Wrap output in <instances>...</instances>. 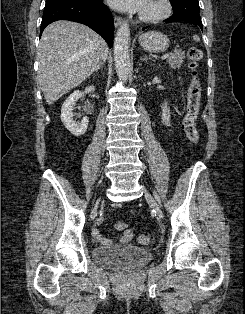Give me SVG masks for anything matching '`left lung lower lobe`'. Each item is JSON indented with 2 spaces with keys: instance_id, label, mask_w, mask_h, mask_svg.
<instances>
[{
  "instance_id": "obj_1",
  "label": "left lung lower lobe",
  "mask_w": 245,
  "mask_h": 314,
  "mask_svg": "<svg viewBox=\"0 0 245 314\" xmlns=\"http://www.w3.org/2000/svg\"><path fill=\"white\" fill-rule=\"evenodd\" d=\"M184 20H190L194 23H196L201 29H202V22L201 21H196V20H192L186 17H174L172 16L169 19L164 20L165 22H180V21H184ZM147 27L142 28V30L146 29Z\"/></svg>"
}]
</instances>
